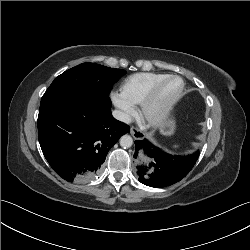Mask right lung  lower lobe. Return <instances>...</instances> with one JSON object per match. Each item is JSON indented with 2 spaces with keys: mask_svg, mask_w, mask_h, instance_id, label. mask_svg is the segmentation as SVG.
I'll return each mask as SVG.
<instances>
[{
  "mask_svg": "<svg viewBox=\"0 0 250 250\" xmlns=\"http://www.w3.org/2000/svg\"><path fill=\"white\" fill-rule=\"evenodd\" d=\"M109 96L75 91L39 110L38 136L54 171L68 182L88 181L101 171L109 149L130 127L111 114Z\"/></svg>",
  "mask_w": 250,
  "mask_h": 250,
  "instance_id": "right-lung-lower-lobe-1",
  "label": "right lung lower lobe"
}]
</instances>
